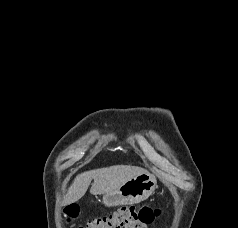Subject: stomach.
I'll use <instances>...</instances> for the list:
<instances>
[{
  "label": "stomach",
  "instance_id": "obj_1",
  "mask_svg": "<svg viewBox=\"0 0 238 228\" xmlns=\"http://www.w3.org/2000/svg\"><path fill=\"white\" fill-rule=\"evenodd\" d=\"M156 188L155 176L146 172L125 182L114 192L104 194L103 203L106 206L136 204L147 199Z\"/></svg>",
  "mask_w": 238,
  "mask_h": 228
}]
</instances>
